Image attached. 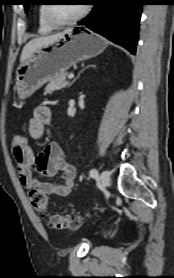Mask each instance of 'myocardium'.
I'll use <instances>...</instances> for the list:
<instances>
[{
  "label": "myocardium",
  "mask_w": 174,
  "mask_h": 278,
  "mask_svg": "<svg viewBox=\"0 0 174 278\" xmlns=\"http://www.w3.org/2000/svg\"><path fill=\"white\" fill-rule=\"evenodd\" d=\"M90 6L89 5H84L83 8L81 9V11L74 17L67 19V20H57L54 18V16L52 15V5L47 4L44 7V17L46 19V21L54 28H59V27H63V26H67V25H71L79 20H81L82 18H84L88 12H89Z\"/></svg>",
  "instance_id": "myocardium-1"
}]
</instances>
